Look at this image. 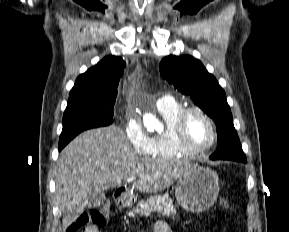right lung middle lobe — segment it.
I'll return each mask as SVG.
<instances>
[{
  "label": "right lung middle lobe",
  "mask_w": 289,
  "mask_h": 232,
  "mask_svg": "<svg viewBox=\"0 0 289 232\" xmlns=\"http://www.w3.org/2000/svg\"><path fill=\"white\" fill-rule=\"evenodd\" d=\"M115 100L116 97H79L68 100L59 147H64L84 130L112 124Z\"/></svg>",
  "instance_id": "1"
}]
</instances>
